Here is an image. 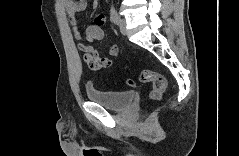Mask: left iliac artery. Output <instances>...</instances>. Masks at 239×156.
I'll return each instance as SVG.
<instances>
[{"instance_id": "44dca946", "label": "left iliac artery", "mask_w": 239, "mask_h": 156, "mask_svg": "<svg viewBox=\"0 0 239 156\" xmlns=\"http://www.w3.org/2000/svg\"><path fill=\"white\" fill-rule=\"evenodd\" d=\"M110 15H111V20L115 23V24H119V20H120V16L118 15L114 5H111V9H110Z\"/></svg>"}]
</instances>
